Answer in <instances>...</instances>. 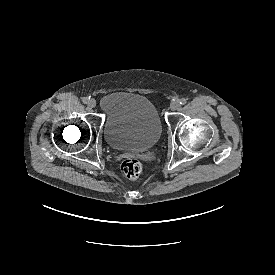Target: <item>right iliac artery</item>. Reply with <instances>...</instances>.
Segmentation results:
<instances>
[{"label": "right iliac artery", "mask_w": 275, "mask_h": 275, "mask_svg": "<svg viewBox=\"0 0 275 275\" xmlns=\"http://www.w3.org/2000/svg\"><path fill=\"white\" fill-rule=\"evenodd\" d=\"M82 101H83V103L87 104V103L89 102V98H88V97H84V98L82 99Z\"/></svg>", "instance_id": "1"}]
</instances>
